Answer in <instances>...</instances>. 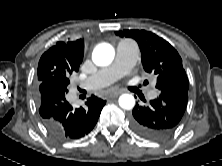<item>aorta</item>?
<instances>
[{
  "mask_svg": "<svg viewBox=\"0 0 222 166\" xmlns=\"http://www.w3.org/2000/svg\"><path fill=\"white\" fill-rule=\"evenodd\" d=\"M115 56L112 45L101 43L97 45L92 53L93 62L98 66H107L111 64ZM119 105L125 110H130L135 106V98L131 94H123L119 97Z\"/></svg>",
  "mask_w": 222,
  "mask_h": 166,
  "instance_id": "obj_1",
  "label": "aorta"
}]
</instances>
